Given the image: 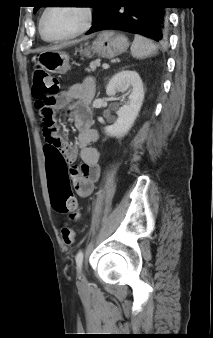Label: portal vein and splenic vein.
I'll list each match as a JSON object with an SVG mask.
<instances>
[{
	"instance_id": "obj_1",
	"label": "portal vein and splenic vein",
	"mask_w": 213,
	"mask_h": 338,
	"mask_svg": "<svg viewBox=\"0 0 213 338\" xmlns=\"http://www.w3.org/2000/svg\"><path fill=\"white\" fill-rule=\"evenodd\" d=\"M102 67H103L104 69H108V68H109V65H108L107 63H104V64L102 65Z\"/></svg>"
}]
</instances>
